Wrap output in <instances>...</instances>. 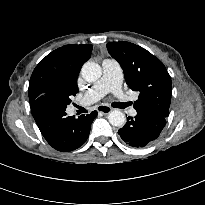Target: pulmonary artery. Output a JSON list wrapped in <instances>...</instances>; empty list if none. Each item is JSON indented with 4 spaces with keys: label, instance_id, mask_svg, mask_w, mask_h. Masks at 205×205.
I'll return each instance as SVG.
<instances>
[{
    "label": "pulmonary artery",
    "instance_id": "1",
    "mask_svg": "<svg viewBox=\"0 0 205 205\" xmlns=\"http://www.w3.org/2000/svg\"><path fill=\"white\" fill-rule=\"evenodd\" d=\"M102 69V77L85 93L81 105H90L100 100L108 92L115 93L122 103L127 102V98L121 90L122 73L119 63L112 59H106L102 63ZM128 111L132 116L137 114L134 108H130Z\"/></svg>",
    "mask_w": 205,
    "mask_h": 205
}]
</instances>
